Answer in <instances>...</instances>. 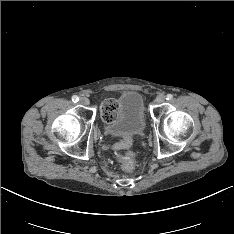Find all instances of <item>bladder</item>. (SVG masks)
I'll use <instances>...</instances> for the list:
<instances>
[{
    "label": "bladder",
    "instance_id": "1",
    "mask_svg": "<svg viewBox=\"0 0 234 234\" xmlns=\"http://www.w3.org/2000/svg\"><path fill=\"white\" fill-rule=\"evenodd\" d=\"M108 133L119 137L142 134L147 127V113L143 96L137 91H125L117 99L112 121L106 122Z\"/></svg>",
    "mask_w": 234,
    "mask_h": 234
}]
</instances>
